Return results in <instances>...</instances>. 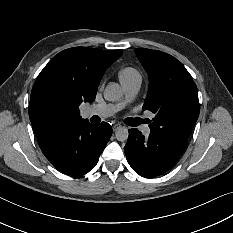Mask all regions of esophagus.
Here are the masks:
<instances>
[{
  "label": "esophagus",
  "mask_w": 233,
  "mask_h": 233,
  "mask_svg": "<svg viewBox=\"0 0 233 233\" xmlns=\"http://www.w3.org/2000/svg\"><path fill=\"white\" fill-rule=\"evenodd\" d=\"M122 127L121 124H114L113 125V131H117L118 129H120Z\"/></svg>",
  "instance_id": "esophagus-1"
}]
</instances>
